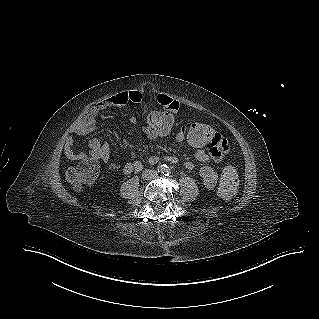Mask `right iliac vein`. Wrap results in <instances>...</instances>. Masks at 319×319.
<instances>
[{
	"mask_svg": "<svg viewBox=\"0 0 319 319\" xmlns=\"http://www.w3.org/2000/svg\"><path fill=\"white\" fill-rule=\"evenodd\" d=\"M147 175H148V172H144V173H143V178H146Z\"/></svg>",
	"mask_w": 319,
	"mask_h": 319,
	"instance_id": "right-iliac-vein-1",
	"label": "right iliac vein"
}]
</instances>
